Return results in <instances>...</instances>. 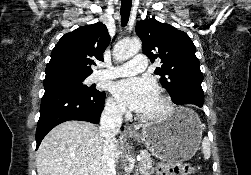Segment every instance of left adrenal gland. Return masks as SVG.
Instances as JSON below:
<instances>
[{
	"instance_id": "left-adrenal-gland-1",
	"label": "left adrenal gland",
	"mask_w": 251,
	"mask_h": 175,
	"mask_svg": "<svg viewBox=\"0 0 251 175\" xmlns=\"http://www.w3.org/2000/svg\"><path fill=\"white\" fill-rule=\"evenodd\" d=\"M136 173H137V175H138L139 171H136Z\"/></svg>"
}]
</instances>
